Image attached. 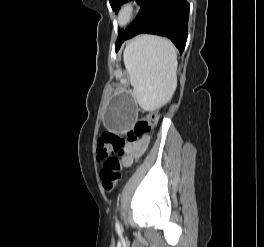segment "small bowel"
I'll return each instance as SVG.
<instances>
[{
  "label": "small bowel",
  "instance_id": "c3829d8e",
  "mask_svg": "<svg viewBox=\"0 0 264 247\" xmlns=\"http://www.w3.org/2000/svg\"><path fill=\"white\" fill-rule=\"evenodd\" d=\"M148 144V138H143L141 141L129 147V156L124 159L125 166H130L133 161L137 160L144 152Z\"/></svg>",
  "mask_w": 264,
  "mask_h": 247
}]
</instances>
